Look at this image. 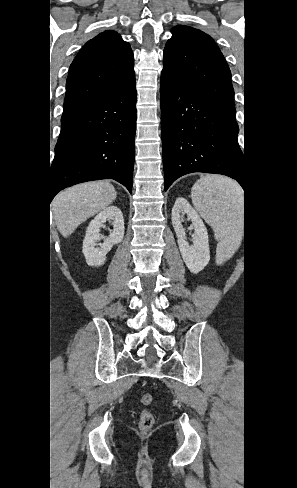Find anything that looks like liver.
Listing matches in <instances>:
<instances>
[{
  "mask_svg": "<svg viewBox=\"0 0 297 488\" xmlns=\"http://www.w3.org/2000/svg\"><path fill=\"white\" fill-rule=\"evenodd\" d=\"M117 197L113 185L107 181L87 182L59 193L51 210L59 232L65 238L94 214L107 208Z\"/></svg>",
  "mask_w": 297,
  "mask_h": 488,
  "instance_id": "obj_1",
  "label": "liver"
}]
</instances>
